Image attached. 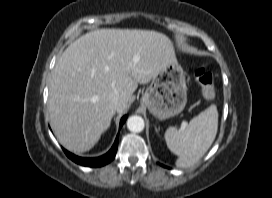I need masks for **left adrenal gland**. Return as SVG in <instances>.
Instances as JSON below:
<instances>
[{"mask_svg": "<svg viewBox=\"0 0 272 198\" xmlns=\"http://www.w3.org/2000/svg\"><path fill=\"white\" fill-rule=\"evenodd\" d=\"M155 130H156V132H158V129H157V128H155Z\"/></svg>", "mask_w": 272, "mask_h": 198, "instance_id": "1", "label": "left adrenal gland"}]
</instances>
